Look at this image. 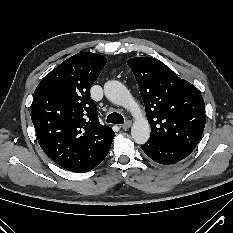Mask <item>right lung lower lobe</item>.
Wrapping results in <instances>:
<instances>
[{
  "instance_id": "right-lung-lower-lobe-1",
  "label": "right lung lower lobe",
  "mask_w": 233,
  "mask_h": 233,
  "mask_svg": "<svg viewBox=\"0 0 233 233\" xmlns=\"http://www.w3.org/2000/svg\"><path fill=\"white\" fill-rule=\"evenodd\" d=\"M110 149H108L105 153H103L100 157H98L97 159H95L93 162H91L90 164L80 168V169H77L73 172H76V173H84V172H88L90 170H92L93 168H95L108 154Z\"/></svg>"
}]
</instances>
